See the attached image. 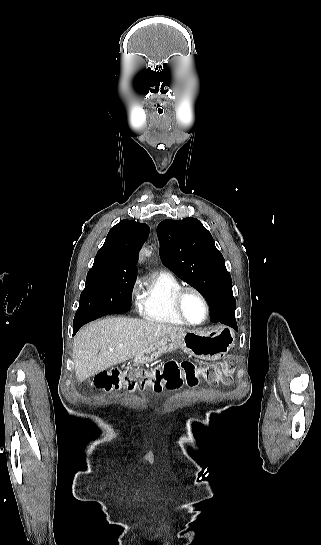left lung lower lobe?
Listing matches in <instances>:
<instances>
[{
	"mask_svg": "<svg viewBox=\"0 0 321 545\" xmlns=\"http://www.w3.org/2000/svg\"><path fill=\"white\" fill-rule=\"evenodd\" d=\"M210 316H211V321L212 322H220V323H223L225 325H228L232 328H234L236 331L238 330L237 328V323H236V319H235V313H231V314H222V313H215V312H210Z\"/></svg>",
	"mask_w": 321,
	"mask_h": 545,
	"instance_id": "obj_1",
	"label": "left lung lower lobe"
}]
</instances>
